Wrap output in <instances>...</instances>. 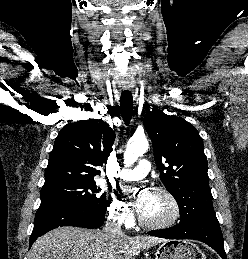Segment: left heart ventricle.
Returning <instances> with one entry per match:
<instances>
[{"label":"left heart ventricle","mask_w":248,"mask_h":259,"mask_svg":"<svg viewBox=\"0 0 248 259\" xmlns=\"http://www.w3.org/2000/svg\"><path fill=\"white\" fill-rule=\"evenodd\" d=\"M171 213L172 208L169 201L163 195L151 192L141 216L148 222H161L166 220Z\"/></svg>","instance_id":"1"}]
</instances>
